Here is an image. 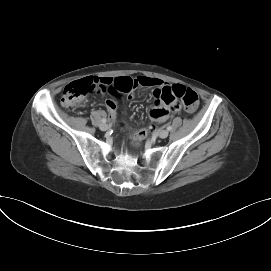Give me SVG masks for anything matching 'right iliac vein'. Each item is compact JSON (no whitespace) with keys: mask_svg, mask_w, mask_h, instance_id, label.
I'll return each instance as SVG.
<instances>
[{"mask_svg":"<svg viewBox=\"0 0 271 271\" xmlns=\"http://www.w3.org/2000/svg\"><path fill=\"white\" fill-rule=\"evenodd\" d=\"M108 128H109V126L106 123L100 124V130L106 131V130H108Z\"/></svg>","mask_w":271,"mask_h":271,"instance_id":"right-iliac-vein-1","label":"right iliac vein"}]
</instances>
